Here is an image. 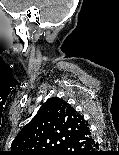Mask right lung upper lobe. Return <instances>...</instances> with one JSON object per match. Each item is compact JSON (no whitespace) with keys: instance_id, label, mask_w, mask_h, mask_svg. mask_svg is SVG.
Listing matches in <instances>:
<instances>
[{"instance_id":"obj_1","label":"right lung upper lobe","mask_w":119,"mask_h":155,"mask_svg":"<svg viewBox=\"0 0 119 155\" xmlns=\"http://www.w3.org/2000/svg\"><path fill=\"white\" fill-rule=\"evenodd\" d=\"M87 125L66 101L49 98L18 133L8 155H57Z\"/></svg>"}]
</instances>
